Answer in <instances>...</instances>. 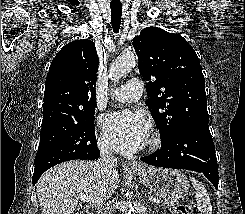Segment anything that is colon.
Instances as JSON below:
<instances>
[{"label":"colon","mask_w":245,"mask_h":214,"mask_svg":"<svg viewBox=\"0 0 245 214\" xmlns=\"http://www.w3.org/2000/svg\"><path fill=\"white\" fill-rule=\"evenodd\" d=\"M173 214H190L184 205L175 206L172 210Z\"/></svg>","instance_id":"5ec220e1"}]
</instances>
